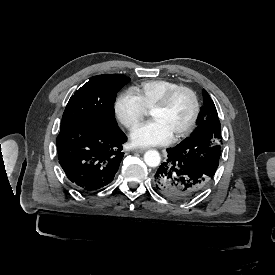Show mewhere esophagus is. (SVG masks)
<instances>
[{"label":"esophagus","instance_id":"34e87169","mask_svg":"<svg viewBox=\"0 0 275 275\" xmlns=\"http://www.w3.org/2000/svg\"><path fill=\"white\" fill-rule=\"evenodd\" d=\"M134 152H136V153H143V152H145V149L137 148V149L134 150Z\"/></svg>","mask_w":275,"mask_h":275}]
</instances>
